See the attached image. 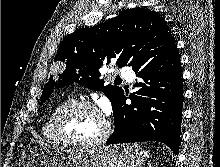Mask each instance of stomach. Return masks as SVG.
<instances>
[{"label": "stomach", "instance_id": "1", "mask_svg": "<svg viewBox=\"0 0 220 167\" xmlns=\"http://www.w3.org/2000/svg\"><path fill=\"white\" fill-rule=\"evenodd\" d=\"M145 153L137 144L94 149H64L43 141L28 144L21 167H141Z\"/></svg>", "mask_w": 220, "mask_h": 167}]
</instances>
